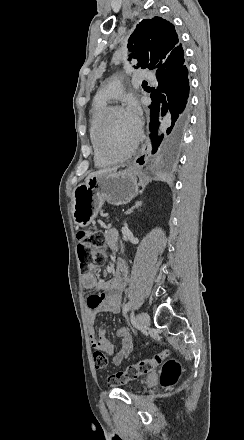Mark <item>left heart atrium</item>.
Here are the masks:
<instances>
[{"label": "left heart atrium", "mask_w": 244, "mask_h": 440, "mask_svg": "<svg viewBox=\"0 0 244 440\" xmlns=\"http://www.w3.org/2000/svg\"><path fill=\"white\" fill-rule=\"evenodd\" d=\"M124 112L129 125L134 130V135L137 137L143 122V114L140 105L137 102L132 101L128 104Z\"/></svg>", "instance_id": "left-heart-atrium-1"}]
</instances>
